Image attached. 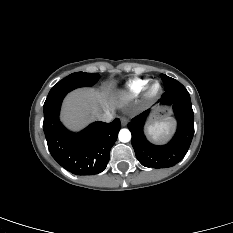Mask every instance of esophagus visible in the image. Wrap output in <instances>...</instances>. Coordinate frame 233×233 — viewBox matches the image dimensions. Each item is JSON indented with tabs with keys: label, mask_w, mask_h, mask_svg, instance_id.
<instances>
[{
	"label": "esophagus",
	"mask_w": 233,
	"mask_h": 233,
	"mask_svg": "<svg viewBox=\"0 0 233 233\" xmlns=\"http://www.w3.org/2000/svg\"><path fill=\"white\" fill-rule=\"evenodd\" d=\"M128 123V119L126 117H121V124L122 126H126Z\"/></svg>",
	"instance_id": "1"
}]
</instances>
